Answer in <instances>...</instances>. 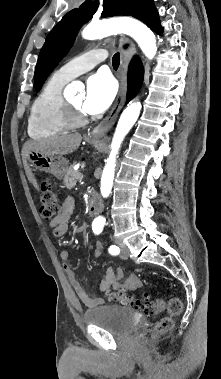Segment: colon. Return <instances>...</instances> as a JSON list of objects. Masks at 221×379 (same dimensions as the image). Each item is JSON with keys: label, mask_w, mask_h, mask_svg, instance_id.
I'll return each instance as SVG.
<instances>
[{"label": "colon", "mask_w": 221, "mask_h": 379, "mask_svg": "<svg viewBox=\"0 0 221 379\" xmlns=\"http://www.w3.org/2000/svg\"><path fill=\"white\" fill-rule=\"evenodd\" d=\"M60 212V205L57 195L52 190L48 182L42 183V194L40 204V215L44 220H53ZM109 297L116 299L124 304L133 305L142 309L146 314L156 316L165 308L168 316L157 320L151 329L144 330L140 338L144 342H150L156 337L168 333L173 327V317L178 316L182 311V302L179 298H172L165 305L162 299L132 300L122 291H111Z\"/></svg>", "instance_id": "5ec220e1"}]
</instances>
